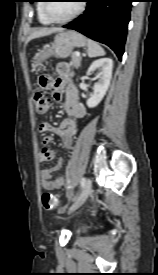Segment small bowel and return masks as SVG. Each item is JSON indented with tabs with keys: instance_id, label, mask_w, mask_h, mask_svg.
<instances>
[{
	"instance_id": "obj_1",
	"label": "small bowel",
	"mask_w": 158,
	"mask_h": 275,
	"mask_svg": "<svg viewBox=\"0 0 158 275\" xmlns=\"http://www.w3.org/2000/svg\"><path fill=\"white\" fill-rule=\"evenodd\" d=\"M57 78H51L49 76H43L49 79V88H53L56 91V98L59 97L60 90L65 89V103L64 108L68 114V117L61 121L58 128H53L49 123H42L40 125V132L43 135V148L40 152V162H48L55 158V151L47 147L52 137L51 133L55 132L62 140L64 148L70 150L73 146L74 138L78 132L79 119L85 116V108L79 100L78 90L72 83V70L67 63H59L56 67ZM63 159L59 158L57 164L49 169H43L40 172V183L45 190L59 189L64 185V177L59 176L55 179L52 178L53 173L61 168Z\"/></svg>"
}]
</instances>
